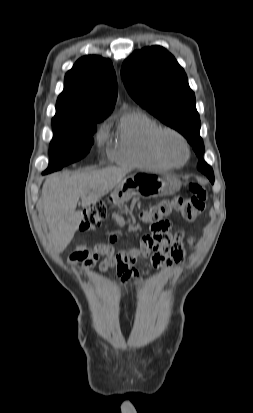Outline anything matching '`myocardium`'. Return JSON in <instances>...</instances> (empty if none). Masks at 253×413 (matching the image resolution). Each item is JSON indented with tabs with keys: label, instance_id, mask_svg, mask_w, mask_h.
Returning <instances> with one entry per match:
<instances>
[{
	"label": "myocardium",
	"instance_id": "obj_1",
	"mask_svg": "<svg viewBox=\"0 0 253 413\" xmlns=\"http://www.w3.org/2000/svg\"><path fill=\"white\" fill-rule=\"evenodd\" d=\"M168 137L177 138L183 145L186 156L184 161L176 162L169 154L166 147V140ZM155 148L158 154L171 166L182 167L184 166L190 158V146L187 139L177 130L169 127L160 128L155 135Z\"/></svg>",
	"mask_w": 253,
	"mask_h": 413
}]
</instances>
